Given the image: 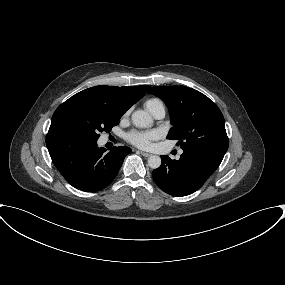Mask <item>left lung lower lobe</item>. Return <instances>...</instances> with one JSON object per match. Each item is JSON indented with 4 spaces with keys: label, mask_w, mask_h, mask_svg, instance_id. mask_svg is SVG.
<instances>
[{
    "label": "left lung lower lobe",
    "mask_w": 285,
    "mask_h": 285,
    "mask_svg": "<svg viewBox=\"0 0 285 285\" xmlns=\"http://www.w3.org/2000/svg\"><path fill=\"white\" fill-rule=\"evenodd\" d=\"M179 160L161 156V166L152 172L157 186L173 196L197 191L219 167L224 154L201 149L183 150Z\"/></svg>",
    "instance_id": "1"
}]
</instances>
